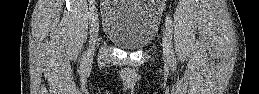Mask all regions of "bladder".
Instances as JSON below:
<instances>
[{
    "mask_svg": "<svg viewBox=\"0 0 259 94\" xmlns=\"http://www.w3.org/2000/svg\"><path fill=\"white\" fill-rule=\"evenodd\" d=\"M161 8L150 0H108L102 8L105 37L125 50H140L155 38Z\"/></svg>",
    "mask_w": 259,
    "mask_h": 94,
    "instance_id": "bladder-1",
    "label": "bladder"
}]
</instances>
